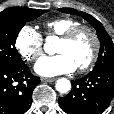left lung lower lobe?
Segmentation results:
<instances>
[{
	"label": "left lung lower lobe",
	"mask_w": 114,
	"mask_h": 114,
	"mask_svg": "<svg viewBox=\"0 0 114 114\" xmlns=\"http://www.w3.org/2000/svg\"><path fill=\"white\" fill-rule=\"evenodd\" d=\"M71 84V92L59 98L61 109L68 114H101L114 97V67L93 69Z\"/></svg>",
	"instance_id": "left-lung-lower-lobe-1"
}]
</instances>
